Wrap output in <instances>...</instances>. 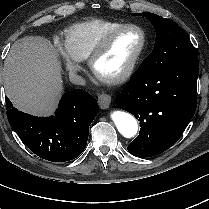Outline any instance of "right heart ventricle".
I'll return each instance as SVG.
<instances>
[{"mask_svg":"<svg viewBox=\"0 0 209 209\" xmlns=\"http://www.w3.org/2000/svg\"><path fill=\"white\" fill-rule=\"evenodd\" d=\"M123 22L94 18L70 25L63 30V42L78 61L89 58L104 34Z\"/></svg>","mask_w":209,"mask_h":209,"instance_id":"e07e8e85","label":"right heart ventricle"}]
</instances>
